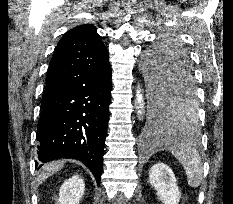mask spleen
Listing matches in <instances>:
<instances>
[{
  "mask_svg": "<svg viewBox=\"0 0 233 204\" xmlns=\"http://www.w3.org/2000/svg\"><path fill=\"white\" fill-rule=\"evenodd\" d=\"M170 151L183 166L188 185L192 188L199 187L204 177L199 152L187 143H177L170 148Z\"/></svg>",
  "mask_w": 233,
  "mask_h": 204,
  "instance_id": "obj_1",
  "label": "spleen"
}]
</instances>
